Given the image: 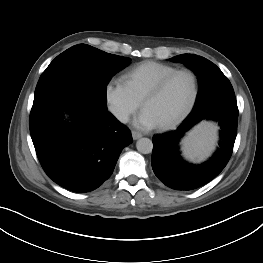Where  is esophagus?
<instances>
[{
	"instance_id": "esophagus-1",
	"label": "esophagus",
	"mask_w": 263,
	"mask_h": 263,
	"mask_svg": "<svg viewBox=\"0 0 263 263\" xmlns=\"http://www.w3.org/2000/svg\"><path fill=\"white\" fill-rule=\"evenodd\" d=\"M132 137L134 140H137L142 137V134L137 131H132Z\"/></svg>"
}]
</instances>
